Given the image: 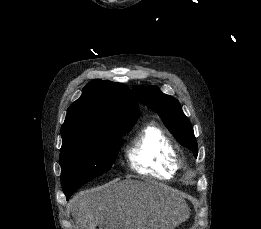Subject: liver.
<instances>
[{
	"mask_svg": "<svg viewBox=\"0 0 261 229\" xmlns=\"http://www.w3.org/2000/svg\"><path fill=\"white\" fill-rule=\"evenodd\" d=\"M159 199V187L121 181L111 189L81 191L71 199L70 209L80 229H158Z\"/></svg>",
	"mask_w": 261,
	"mask_h": 229,
	"instance_id": "6515ba94",
	"label": "liver"
}]
</instances>
